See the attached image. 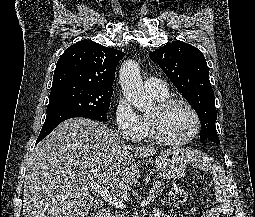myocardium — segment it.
I'll use <instances>...</instances> for the list:
<instances>
[{"label": "myocardium", "instance_id": "1", "mask_svg": "<svg viewBox=\"0 0 255 217\" xmlns=\"http://www.w3.org/2000/svg\"><path fill=\"white\" fill-rule=\"evenodd\" d=\"M175 104H183L185 105L192 113L195 119V128L193 132L190 134L185 139H180V140H174L171 138L166 137L160 127V122L158 116L163 114L165 111H167L171 106ZM157 109V115H149V124H150V130H151V136L158 142L166 145H171V146H180V145H185L190 142H192L196 136L198 135L201 126H202V121L201 117L195 108V106L188 101L187 99L184 98H166L162 101H160L156 107Z\"/></svg>", "mask_w": 255, "mask_h": 217}]
</instances>
